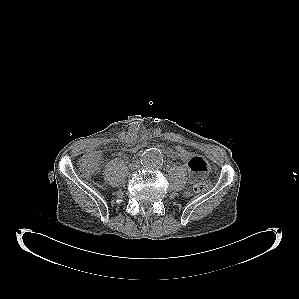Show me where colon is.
Segmentation results:
<instances>
[{"instance_id":"5ec220e1","label":"colon","mask_w":299,"mask_h":299,"mask_svg":"<svg viewBox=\"0 0 299 299\" xmlns=\"http://www.w3.org/2000/svg\"><path fill=\"white\" fill-rule=\"evenodd\" d=\"M145 144H140L139 147L142 149ZM139 149V150H140ZM174 151L180 160L186 165L192 158V153L181 145H176ZM98 167V156L94 152H85L82 153L77 162L78 171L84 176L93 175L97 171ZM211 184L208 181H202L194 186V191L196 193H203L210 189Z\"/></svg>"}]
</instances>
